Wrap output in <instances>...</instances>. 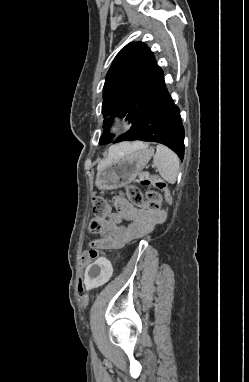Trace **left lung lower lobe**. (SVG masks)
Segmentation results:
<instances>
[{
    "mask_svg": "<svg viewBox=\"0 0 249 382\" xmlns=\"http://www.w3.org/2000/svg\"><path fill=\"white\" fill-rule=\"evenodd\" d=\"M134 140L164 144L183 159L184 129L180 111L173 103L165 82L139 120L113 143Z\"/></svg>",
    "mask_w": 249,
    "mask_h": 382,
    "instance_id": "1",
    "label": "left lung lower lobe"
}]
</instances>
